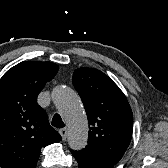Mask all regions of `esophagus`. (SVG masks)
<instances>
[{"mask_svg":"<svg viewBox=\"0 0 168 168\" xmlns=\"http://www.w3.org/2000/svg\"><path fill=\"white\" fill-rule=\"evenodd\" d=\"M60 135L62 136L63 140L67 139L68 136V129L67 128H62L59 130Z\"/></svg>","mask_w":168,"mask_h":168,"instance_id":"1","label":"esophagus"}]
</instances>
